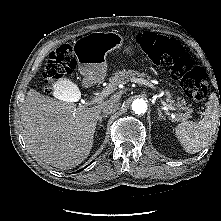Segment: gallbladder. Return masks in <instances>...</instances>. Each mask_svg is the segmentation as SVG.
I'll return each mask as SVG.
<instances>
[{
    "label": "gallbladder",
    "mask_w": 221,
    "mask_h": 221,
    "mask_svg": "<svg viewBox=\"0 0 221 221\" xmlns=\"http://www.w3.org/2000/svg\"><path fill=\"white\" fill-rule=\"evenodd\" d=\"M52 94L66 103H77L82 96L81 88L64 78L56 79L51 86Z\"/></svg>",
    "instance_id": "1"
}]
</instances>
